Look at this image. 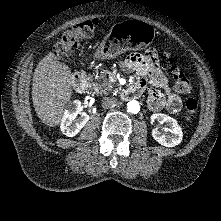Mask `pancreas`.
Here are the masks:
<instances>
[{"instance_id": "1", "label": "pancreas", "mask_w": 221, "mask_h": 221, "mask_svg": "<svg viewBox=\"0 0 221 221\" xmlns=\"http://www.w3.org/2000/svg\"><path fill=\"white\" fill-rule=\"evenodd\" d=\"M107 73V70L103 71L99 76H96L95 79L97 82L93 83V88L95 90L96 94H105L113 89V83L110 81H107L105 78V75ZM94 75L89 74L88 77L91 79Z\"/></svg>"}]
</instances>
